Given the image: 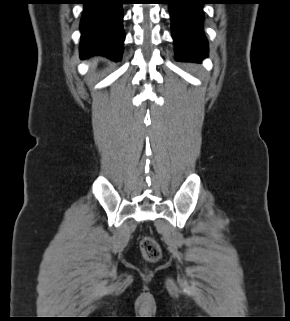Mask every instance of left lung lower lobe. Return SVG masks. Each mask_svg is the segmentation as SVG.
Returning a JSON list of instances; mask_svg holds the SVG:
<instances>
[{"label": "left lung lower lobe", "mask_w": 290, "mask_h": 321, "mask_svg": "<svg viewBox=\"0 0 290 321\" xmlns=\"http://www.w3.org/2000/svg\"><path fill=\"white\" fill-rule=\"evenodd\" d=\"M207 3L208 0H168L177 60L199 62L207 56L202 30V6Z\"/></svg>", "instance_id": "left-lung-lower-lobe-1"}]
</instances>
